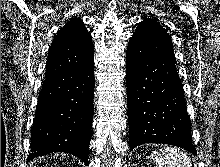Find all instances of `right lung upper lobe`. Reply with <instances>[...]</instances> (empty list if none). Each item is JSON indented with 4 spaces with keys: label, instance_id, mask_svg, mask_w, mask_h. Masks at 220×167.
<instances>
[{
    "label": "right lung upper lobe",
    "instance_id": "right-lung-upper-lobe-1",
    "mask_svg": "<svg viewBox=\"0 0 220 167\" xmlns=\"http://www.w3.org/2000/svg\"><path fill=\"white\" fill-rule=\"evenodd\" d=\"M94 62L92 37L80 18L70 20L56 34L49 49L46 77L80 70Z\"/></svg>",
    "mask_w": 220,
    "mask_h": 167
}]
</instances>
